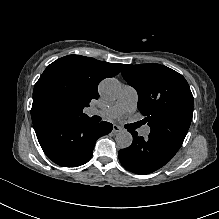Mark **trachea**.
<instances>
[{"label":"trachea","instance_id":"3493384b","mask_svg":"<svg viewBox=\"0 0 219 219\" xmlns=\"http://www.w3.org/2000/svg\"><path fill=\"white\" fill-rule=\"evenodd\" d=\"M93 120L100 122L102 120V118L100 116H93L92 117ZM130 125H127L126 128H129Z\"/></svg>","mask_w":219,"mask_h":219}]
</instances>
